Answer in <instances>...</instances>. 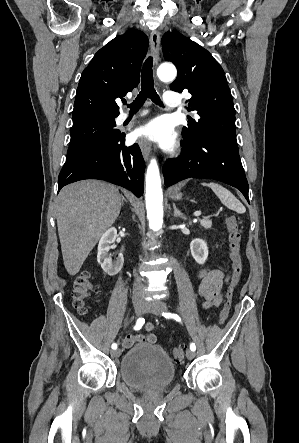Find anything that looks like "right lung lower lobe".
I'll use <instances>...</instances> for the list:
<instances>
[{"instance_id":"98d812e1","label":"right lung lower lobe","mask_w":299,"mask_h":443,"mask_svg":"<svg viewBox=\"0 0 299 443\" xmlns=\"http://www.w3.org/2000/svg\"><path fill=\"white\" fill-rule=\"evenodd\" d=\"M125 134L95 144L66 160L58 178V191L72 182L100 179L122 186L142 196L144 159L137 144L125 146Z\"/></svg>"}]
</instances>
